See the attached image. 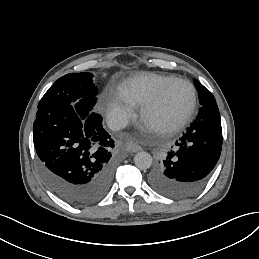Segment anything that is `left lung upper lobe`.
<instances>
[{"label":"left lung upper lobe","instance_id":"obj_1","mask_svg":"<svg viewBox=\"0 0 259 259\" xmlns=\"http://www.w3.org/2000/svg\"><path fill=\"white\" fill-rule=\"evenodd\" d=\"M194 84L198 91V96H199V101L201 106H205L216 102L214 96L210 93V91L206 89L199 81L194 79Z\"/></svg>","mask_w":259,"mask_h":259}]
</instances>
